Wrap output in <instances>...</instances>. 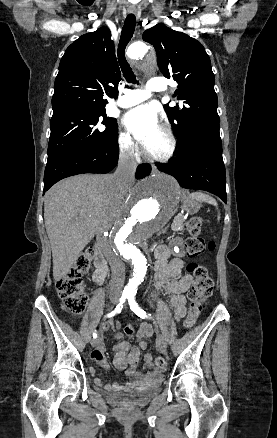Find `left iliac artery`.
Here are the masks:
<instances>
[{
    "mask_svg": "<svg viewBox=\"0 0 277 438\" xmlns=\"http://www.w3.org/2000/svg\"><path fill=\"white\" fill-rule=\"evenodd\" d=\"M128 302L131 310L136 313L141 318H148L151 316V314H147L143 309L139 307L137 302L135 301L134 295H129Z\"/></svg>",
    "mask_w": 277,
    "mask_h": 438,
    "instance_id": "left-iliac-artery-1",
    "label": "left iliac artery"
}]
</instances>
